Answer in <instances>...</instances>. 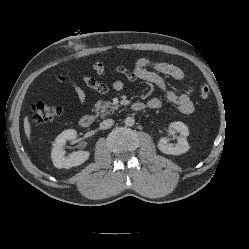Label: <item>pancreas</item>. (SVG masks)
<instances>
[{"label": "pancreas", "instance_id": "pancreas-1", "mask_svg": "<svg viewBox=\"0 0 249 249\" xmlns=\"http://www.w3.org/2000/svg\"><path fill=\"white\" fill-rule=\"evenodd\" d=\"M118 108V105H113L110 101H98L95 104V111L97 114H101V116H105L110 114V112H114Z\"/></svg>", "mask_w": 249, "mask_h": 249}]
</instances>
